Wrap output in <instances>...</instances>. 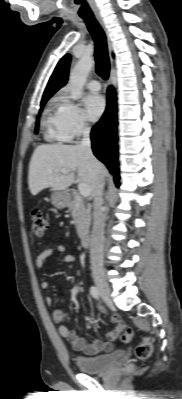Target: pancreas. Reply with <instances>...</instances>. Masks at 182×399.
Segmentation results:
<instances>
[{"mask_svg":"<svg viewBox=\"0 0 182 399\" xmlns=\"http://www.w3.org/2000/svg\"><path fill=\"white\" fill-rule=\"evenodd\" d=\"M69 211L71 212L78 236L84 238L89 232L91 222L89 205L80 195L75 194L74 200L70 204Z\"/></svg>","mask_w":182,"mask_h":399,"instance_id":"1","label":"pancreas"}]
</instances>
